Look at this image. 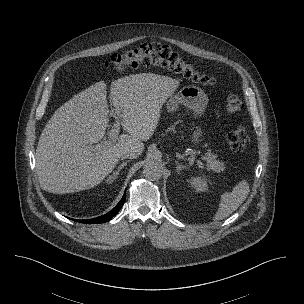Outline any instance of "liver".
I'll use <instances>...</instances> for the list:
<instances>
[{
    "label": "liver",
    "instance_id": "liver-1",
    "mask_svg": "<svg viewBox=\"0 0 304 304\" xmlns=\"http://www.w3.org/2000/svg\"><path fill=\"white\" fill-rule=\"evenodd\" d=\"M179 86L167 76L139 73L110 85L111 104L119 112L127 134L95 149L109 126L106 84L99 81L60 106L43 129L36 150V172L41 188L65 194L98 185L118 164L121 154L139 155L154 133L161 108Z\"/></svg>",
    "mask_w": 304,
    "mask_h": 304
}]
</instances>
